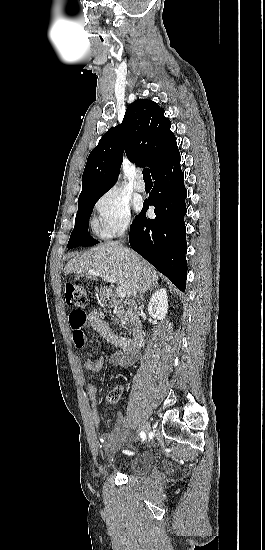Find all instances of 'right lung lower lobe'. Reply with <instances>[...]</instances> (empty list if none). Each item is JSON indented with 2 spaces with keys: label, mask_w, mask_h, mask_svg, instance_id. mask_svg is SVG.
Here are the masks:
<instances>
[{
  "label": "right lung lower lobe",
  "mask_w": 265,
  "mask_h": 550,
  "mask_svg": "<svg viewBox=\"0 0 265 550\" xmlns=\"http://www.w3.org/2000/svg\"><path fill=\"white\" fill-rule=\"evenodd\" d=\"M154 187L144 201L141 213L130 227L132 249L167 276L181 291L187 278L186 254V189L177 150L153 173ZM149 205L155 206V219H147Z\"/></svg>",
  "instance_id": "98d812e1"
}]
</instances>
